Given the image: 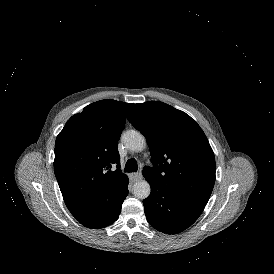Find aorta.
<instances>
[{
    "mask_svg": "<svg viewBox=\"0 0 274 274\" xmlns=\"http://www.w3.org/2000/svg\"><path fill=\"white\" fill-rule=\"evenodd\" d=\"M122 143L131 151L140 152L146 146L145 137L138 131L129 130L122 134ZM150 185L141 180L133 185V194L138 199H145L150 195Z\"/></svg>",
    "mask_w": 274,
    "mask_h": 274,
    "instance_id": "obj_1",
    "label": "aorta"
}]
</instances>
